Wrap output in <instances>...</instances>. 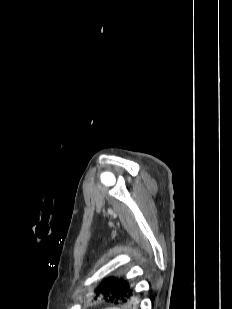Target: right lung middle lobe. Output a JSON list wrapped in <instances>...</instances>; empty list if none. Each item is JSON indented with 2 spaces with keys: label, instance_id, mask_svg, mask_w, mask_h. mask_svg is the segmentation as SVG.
I'll list each match as a JSON object with an SVG mask.
<instances>
[{
  "label": "right lung middle lobe",
  "instance_id": "dd1d6c3e",
  "mask_svg": "<svg viewBox=\"0 0 232 309\" xmlns=\"http://www.w3.org/2000/svg\"><path fill=\"white\" fill-rule=\"evenodd\" d=\"M115 281H117V280L114 279V278L106 279L98 288L105 287V286H110V285H112ZM98 288H97V289H98Z\"/></svg>",
  "mask_w": 232,
  "mask_h": 309
}]
</instances>
